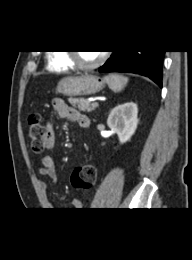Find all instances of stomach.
Masks as SVG:
<instances>
[{
	"label": "stomach",
	"instance_id": "1",
	"mask_svg": "<svg viewBox=\"0 0 192 260\" xmlns=\"http://www.w3.org/2000/svg\"><path fill=\"white\" fill-rule=\"evenodd\" d=\"M105 87V82L92 74H85L76 77H65L58 82L57 92L69 96L94 95Z\"/></svg>",
	"mask_w": 192,
	"mask_h": 260
}]
</instances>
